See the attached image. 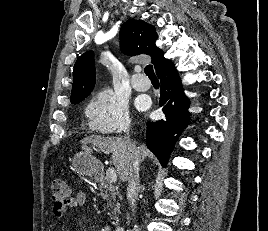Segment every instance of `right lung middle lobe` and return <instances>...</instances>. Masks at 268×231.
Segmentation results:
<instances>
[{
	"mask_svg": "<svg viewBox=\"0 0 268 231\" xmlns=\"http://www.w3.org/2000/svg\"><path fill=\"white\" fill-rule=\"evenodd\" d=\"M80 101H82V100H80ZM80 101L74 102L73 104L79 103Z\"/></svg>",
	"mask_w": 268,
	"mask_h": 231,
	"instance_id": "obj_1",
	"label": "right lung middle lobe"
}]
</instances>
